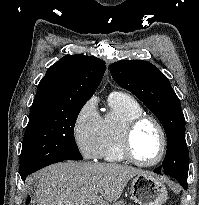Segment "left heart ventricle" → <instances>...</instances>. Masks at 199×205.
<instances>
[{"label": "left heart ventricle", "mask_w": 199, "mask_h": 205, "mask_svg": "<svg viewBox=\"0 0 199 205\" xmlns=\"http://www.w3.org/2000/svg\"><path fill=\"white\" fill-rule=\"evenodd\" d=\"M134 155L142 162L154 161L161 150V138L157 128L149 122L140 125L133 135Z\"/></svg>", "instance_id": "left-heart-ventricle-1"}]
</instances>
